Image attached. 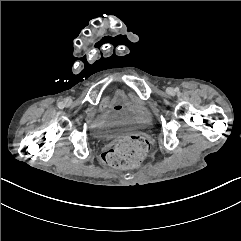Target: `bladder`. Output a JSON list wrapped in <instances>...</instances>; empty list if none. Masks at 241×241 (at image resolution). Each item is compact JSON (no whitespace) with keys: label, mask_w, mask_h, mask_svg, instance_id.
<instances>
[{"label":"bladder","mask_w":241,"mask_h":241,"mask_svg":"<svg viewBox=\"0 0 241 241\" xmlns=\"http://www.w3.org/2000/svg\"><path fill=\"white\" fill-rule=\"evenodd\" d=\"M102 116L110 126L131 125L138 120V106L131 97L117 92L105 107Z\"/></svg>","instance_id":"1"}]
</instances>
